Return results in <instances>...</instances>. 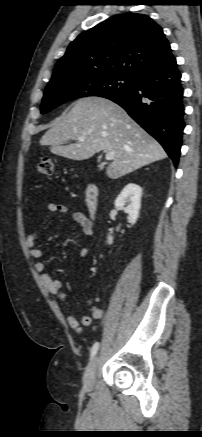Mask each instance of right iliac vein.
I'll return each mask as SVG.
<instances>
[{"mask_svg": "<svg viewBox=\"0 0 202 437\" xmlns=\"http://www.w3.org/2000/svg\"><path fill=\"white\" fill-rule=\"evenodd\" d=\"M98 365V358L95 357L87 366L84 376L83 385L87 391H91L94 387L95 373Z\"/></svg>", "mask_w": 202, "mask_h": 437, "instance_id": "1", "label": "right iliac vein"}]
</instances>
